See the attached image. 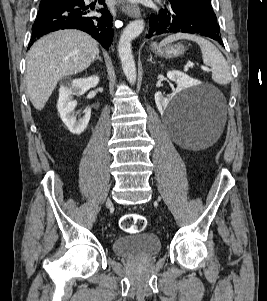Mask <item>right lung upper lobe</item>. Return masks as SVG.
I'll list each match as a JSON object with an SVG mask.
<instances>
[{
  "mask_svg": "<svg viewBox=\"0 0 267 301\" xmlns=\"http://www.w3.org/2000/svg\"><path fill=\"white\" fill-rule=\"evenodd\" d=\"M53 1H58V2H60V3H61V2H63V1H65V0H53Z\"/></svg>",
  "mask_w": 267,
  "mask_h": 301,
  "instance_id": "1",
  "label": "right lung upper lobe"
}]
</instances>
